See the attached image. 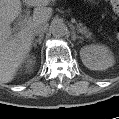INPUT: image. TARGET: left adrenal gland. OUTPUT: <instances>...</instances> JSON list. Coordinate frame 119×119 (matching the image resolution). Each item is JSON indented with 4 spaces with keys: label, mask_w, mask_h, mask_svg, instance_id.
I'll list each match as a JSON object with an SVG mask.
<instances>
[{
    "label": "left adrenal gland",
    "mask_w": 119,
    "mask_h": 119,
    "mask_svg": "<svg viewBox=\"0 0 119 119\" xmlns=\"http://www.w3.org/2000/svg\"><path fill=\"white\" fill-rule=\"evenodd\" d=\"M72 34H73V36H72V39H73V40H76V39H81V40H83V37L76 35L75 32H73Z\"/></svg>",
    "instance_id": "1"
}]
</instances>
